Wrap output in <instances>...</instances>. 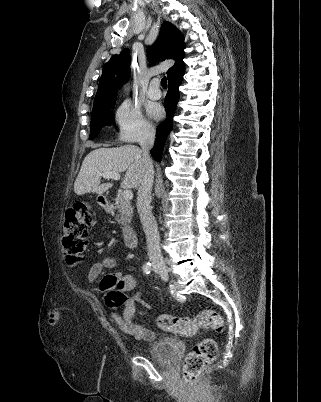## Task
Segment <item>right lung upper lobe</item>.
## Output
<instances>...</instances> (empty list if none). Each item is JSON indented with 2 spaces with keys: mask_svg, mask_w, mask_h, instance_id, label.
<instances>
[{
  "mask_svg": "<svg viewBox=\"0 0 321 402\" xmlns=\"http://www.w3.org/2000/svg\"><path fill=\"white\" fill-rule=\"evenodd\" d=\"M181 32L170 22H164L157 41L148 48V58L174 59L175 65L167 71L168 79L184 71L183 62L185 43ZM130 51L124 49L120 54L114 55L104 65L99 87L95 96V107L105 106L116 100L117 86L127 82L130 76Z\"/></svg>",
  "mask_w": 321,
  "mask_h": 402,
  "instance_id": "cb5924a9",
  "label": "right lung upper lobe"
}]
</instances>
